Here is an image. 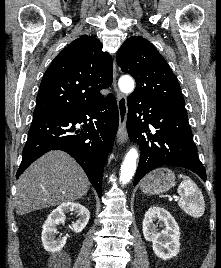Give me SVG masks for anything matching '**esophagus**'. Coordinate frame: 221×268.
Listing matches in <instances>:
<instances>
[{
	"label": "esophagus",
	"instance_id": "34e87169",
	"mask_svg": "<svg viewBox=\"0 0 221 268\" xmlns=\"http://www.w3.org/2000/svg\"><path fill=\"white\" fill-rule=\"evenodd\" d=\"M116 67L114 65L113 68V88L116 92L117 96V106L119 111V127L117 131V142L119 144L125 143L127 139V129H126V120H127V113H128V107H127V100L126 97L120 93L116 86Z\"/></svg>",
	"mask_w": 221,
	"mask_h": 268
}]
</instances>
